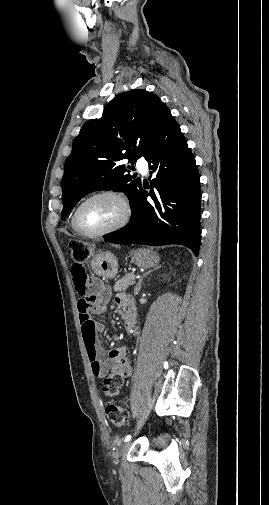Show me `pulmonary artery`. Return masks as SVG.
<instances>
[{
	"mask_svg": "<svg viewBox=\"0 0 269 505\" xmlns=\"http://www.w3.org/2000/svg\"><path fill=\"white\" fill-rule=\"evenodd\" d=\"M136 166H137V169L138 171L142 174V175H147V172H148V165H147V162L143 159H139L136 163Z\"/></svg>",
	"mask_w": 269,
	"mask_h": 505,
	"instance_id": "obj_1",
	"label": "pulmonary artery"
}]
</instances>
